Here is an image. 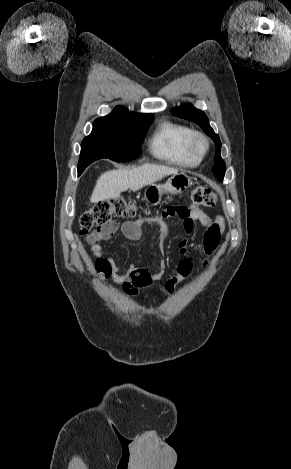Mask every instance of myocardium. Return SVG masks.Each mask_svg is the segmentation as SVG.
Instances as JSON below:
<instances>
[{"label":"myocardium","mask_w":291,"mask_h":469,"mask_svg":"<svg viewBox=\"0 0 291 469\" xmlns=\"http://www.w3.org/2000/svg\"><path fill=\"white\" fill-rule=\"evenodd\" d=\"M187 149L193 157L201 160L209 152L210 143L203 133L194 131L188 139Z\"/></svg>","instance_id":"f54148a6"}]
</instances>
